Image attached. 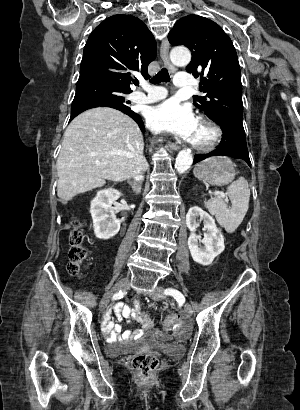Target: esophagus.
Returning a JSON list of instances; mask_svg holds the SVG:
<instances>
[{
	"label": "esophagus",
	"mask_w": 300,
	"mask_h": 410,
	"mask_svg": "<svg viewBox=\"0 0 300 410\" xmlns=\"http://www.w3.org/2000/svg\"><path fill=\"white\" fill-rule=\"evenodd\" d=\"M169 48H170L169 41L166 38L163 39L162 42H161V47H160V54H161L162 60L164 61L165 65L173 73V72H175L176 68L171 63V61L169 59ZM169 148L171 150L177 151V150L180 149V146L176 143L170 142L169 143Z\"/></svg>",
	"instance_id": "34e87169"
}]
</instances>
